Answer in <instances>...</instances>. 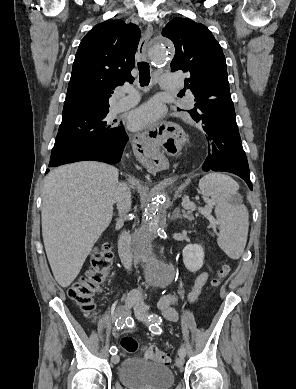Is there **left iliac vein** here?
<instances>
[{"label": "left iliac vein", "instance_id": "1", "mask_svg": "<svg viewBox=\"0 0 296 389\" xmlns=\"http://www.w3.org/2000/svg\"><path fill=\"white\" fill-rule=\"evenodd\" d=\"M134 312H135V315L136 317L138 318V320L142 321V322H147L148 319V312H147V309H146V306L144 305L143 301L139 300L135 303L134 305ZM176 366L177 367H182L183 364H184V357L183 356H179L176 361Z\"/></svg>", "mask_w": 296, "mask_h": 389}]
</instances>
